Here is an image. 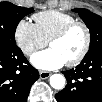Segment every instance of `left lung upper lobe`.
I'll return each instance as SVG.
<instances>
[{
	"label": "left lung upper lobe",
	"mask_w": 102,
	"mask_h": 102,
	"mask_svg": "<svg viewBox=\"0 0 102 102\" xmlns=\"http://www.w3.org/2000/svg\"><path fill=\"white\" fill-rule=\"evenodd\" d=\"M73 11L79 13V16L90 30L91 39L88 53L96 49H102V17L87 9L77 8Z\"/></svg>",
	"instance_id": "obj_1"
}]
</instances>
